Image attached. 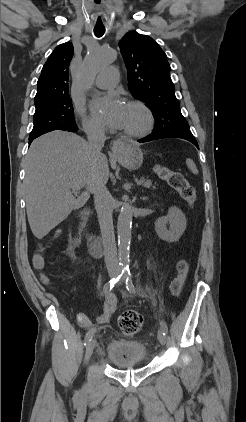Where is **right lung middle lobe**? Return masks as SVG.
<instances>
[{"label": "right lung middle lobe", "instance_id": "right-lung-middle-lobe-1", "mask_svg": "<svg viewBox=\"0 0 246 422\" xmlns=\"http://www.w3.org/2000/svg\"><path fill=\"white\" fill-rule=\"evenodd\" d=\"M33 123L34 126L29 139H35L53 130L75 128L77 125L70 97H61L48 105L37 108L33 117Z\"/></svg>", "mask_w": 246, "mask_h": 422}]
</instances>
